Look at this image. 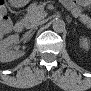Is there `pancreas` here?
Listing matches in <instances>:
<instances>
[{
	"instance_id": "pancreas-1",
	"label": "pancreas",
	"mask_w": 91,
	"mask_h": 91,
	"mask_svg": "<svg viewBox=\"0 0 91 91\" xmlns=\"http://www.w3.org/2000/svg\"><path fill=\"white\" fill-rule=\"evenodd\" d=\"M67 6L72 10L73 15L79 17L84 24L90 25V17L81 14V9L76 4L70 3ZM43 16H44L43 6L33 3L28 7L27 14L23 18V21L26 25H28L32 22L40 20L41 18H43Z\"/></svg>"
}]
</instances>
